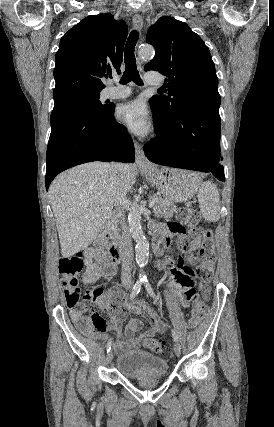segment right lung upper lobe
Segmentation results:
<instances>
[{"label": "right lung upper lobe", "instance_id": "1", "mask_svg": "<svg viewBox=\"0 0 274 427\" xmlns=\"http://www.w3.org/2000/svg\"><path fill=\"white\" fill-rule=\"evenodd\" d=\"M127 32L111 13L88 16L71 28L55 56L54 105L72 95L100 93L101 79L120 72Z\"/></svg>", "mask_w": 274, "mask_h": 427}]
</instances>
